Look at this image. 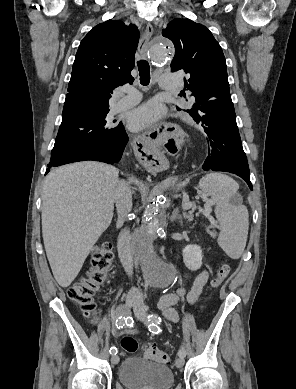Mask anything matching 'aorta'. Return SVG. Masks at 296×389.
<instances>
[{
    "mask_svg": "<svg viewBox=\"0 0 296 389\" xmlns=\"http://www.w3.org/2000/svg\"><path fill=\"white\" fill-rule=\"evenodd\" d=\"M151 66H171L174 52L166 39L155 40L151 47ZM168 199L157 195L145 208L142 224L134 232L132 247L142 263L145 282L155 288H166L174 277L171 265L160 259L154 249V242L165 226V209Z\"/></svg>",
    "mask_w": 296,
    "mask_h": 389,
    "instance_id": "obj_1",
    "label": "aorta"
}]
</instances>
